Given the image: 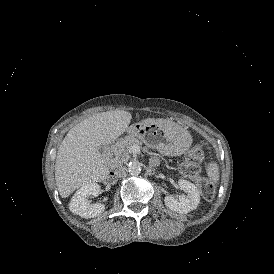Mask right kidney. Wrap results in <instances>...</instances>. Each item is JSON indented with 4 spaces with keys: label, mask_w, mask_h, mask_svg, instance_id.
<instances>
[{
    "label": "right kidney",
    "mask_w": 274,
    "mask_h": 274,
    "mask_svg": "<svg viewBox=\"0 0 274 274\" xmlns=\"http://www.w3.org/2000/svg\"><path fill=\"white\" fill-rule=\"evenodd\" d=\"M100 186L97 183H87L76 191L69 203V209L72 213L82 218H93L105 210V205L101 203L90 204L87 198L90 195L98 196Z\"/></svg>",
    "instance_id": "ca27d5eb"
}]
</instances>
